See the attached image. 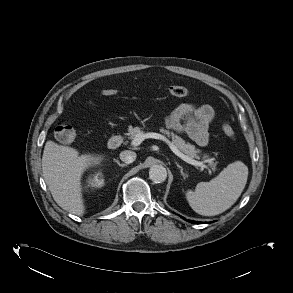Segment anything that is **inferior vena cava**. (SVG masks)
<instances>
[{"label":"inferior vena cava","instance_id":"obj_1","mask_svg":"<svg viewBox=\"0 0 293 293\" xmlns=\"http://www.w3.org/2000/svg\"><path fill=\"white\" fill-rule=\"evenodd\" d=\"M120 159L126 164H130L135 161L136 153L130 150H125L120 153Z\"/></svg>","mask_w":293,"mask_h":293}]
</instances>
